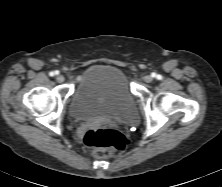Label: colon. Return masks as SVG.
I'll list each match as a JSON object with an SVG mask.
<instances>
[{
    "instance_id": "5ec220e1",
    "label": "colon",
    "mask_w": 222,
    "mask_h": 187,
    "mask_svg": "<svg viewBox=\"0 0 222 187\" xmlns=\"http://www.w3.org/2000/svg\"><path fill=\"white\" fill-rule=\"evenodd\" d=\"M83 141L93 150V154L97 158L122 152L128 145V140L123 133L105 127L88 129L83 136Z\"/></svg>"
}]
</instances>
